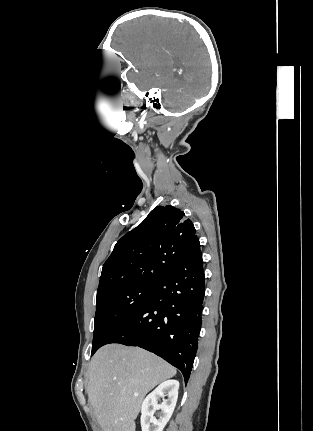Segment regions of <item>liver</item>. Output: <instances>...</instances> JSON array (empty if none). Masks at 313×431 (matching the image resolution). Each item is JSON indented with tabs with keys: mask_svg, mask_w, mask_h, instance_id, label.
Returning <instances> with one entry per match:
<instances>
[{
	"mask_svg": "<svg viewBox=\"0 0 313 431\" xmlns=\"http://www.w3.org/2000/svg\"><path fill=\"white\" fill-rule=\"evenodd\" d=\"M175 375L174 367L142 348H100L89 365L87 392L103 431H135L146 394Z\"/></svg>",
	"mask_w": 313,
	"mask_h": 431,
	"instance_id": "6515ba94",
	"label": "liver"
}]
</instances>
